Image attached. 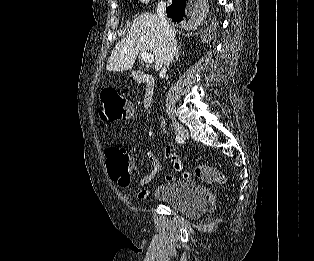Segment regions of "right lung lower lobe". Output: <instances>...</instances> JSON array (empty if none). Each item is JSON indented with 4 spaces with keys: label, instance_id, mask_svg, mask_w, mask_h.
<instances>
[{
    "label": "right lung lower lobe",
    "instance_id": "98d812e1",
    "mask_svg": "<svg viewBox=\"0 0 314 261\" xmlns=\"http://www.w3.org/2000/svg\"><path fill=\"white\" fill-rule=\"evenodd\" d=\"M187 3L186 0H172L171 6L167 9V16L170 17L172 21L180 22L186 17Z\"/></svg>",
    "mask_w": 314,
    "mask_h": 261
}]
</instances>
